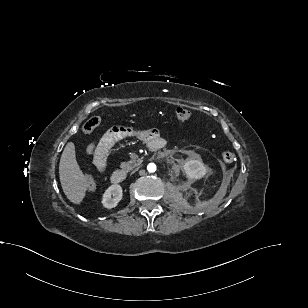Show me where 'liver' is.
<instances>
[{"label": "liver", "mask_w": 308, "mask_h": 308, "mask_svg": "<svg viewBox=\"0 0 308 308\" xmlns=\"http://www.w3.org/2000/svg\"><path fill=\"white\" fill-rule=\"evenodd\" d=\"M59 177L66 197L71 202L79 204L85 197L88 179L77 163L73 142L67 143L63 150L59 163Z\"/></svg>", "instance_id": "liver-1"}]
</instances>
